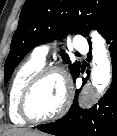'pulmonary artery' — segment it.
Here are the masks:
<instances>
[{
	"label": "pulmonary artery",
	"instance_id": "obj_1",
	"mask_svg": "<svg viewBox=\"0 0 117 136\" xmlns=\"http://www.w3.org/2000/svg\"><path fill=\"white\" fill-rule=\"evenodd\" d=\"M74 47L81 52H86L88 50L86 40L80 36L74 38ZM50 48L51 46L47 43L38 45L33 49L32 56L38 59L39 61L45 62L46 56Z\"/></svg>",
	"mask_w": 117,
	"mask_h": 136
}]
</instances>
